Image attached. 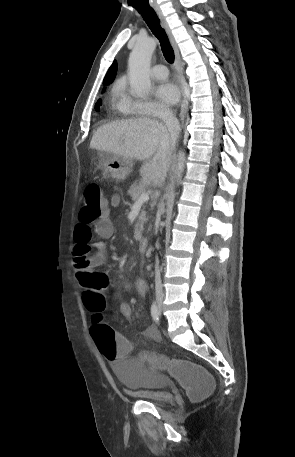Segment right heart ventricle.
<instances>
[{
	"label": "right heart ventricle",
	"mask_w": 295,
	"mask_h": 457,
	"mask_svg": "<svg viewBox=\"0 0 295 457\" xmlns=\"http://www.w3.org/2000/svg\"><path fill=\"white\" fill-rule=\"evenodd\" d=\"M111 106L122 117L136 115L132 99L127 95L123 82H116L111 89Z\"/></svg>",
	"instance_id": "right-heart-ventricle-1"
}]
</instances>
